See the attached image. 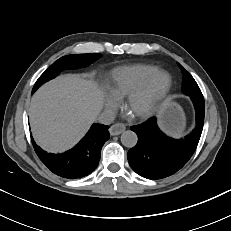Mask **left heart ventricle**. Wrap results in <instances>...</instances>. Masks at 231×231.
Wrapping results in <instances>:
<instances>
[{"label": "left heart ventricle", "mask_w": 231, "mask_h": 231, "mask_svg": "<svg viewBox=\"0 0 231 231\" xmlns=\"http://www.w3.org/2000/svg\"><path fill=\"white\" fill-rule=\"evenodd\" d=\"M160 89V85H155L148 92L137 97L133 102L131 111H136L144 108L150 102V100H152L159 93Z\"/></svg>", "instance_id": "1"}]
</instances>
